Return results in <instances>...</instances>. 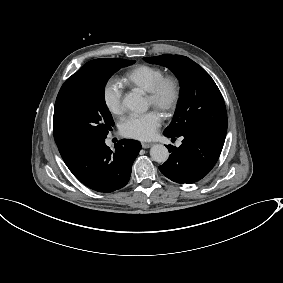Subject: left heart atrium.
Segmentation results:
<instances>
[{
  "label": "left heart atrium",
  "mask_w": 283,
  "mask_h": 283,
  "mask_svg": "<svg viewBox=\"0 0 283 283\" xmlns=\"http://www.w3.org/2000/svg\"><path fill=\"white\" fill-rule=\"evenodd\" d=\"M162 115L152 109L144 114H129L120 125L121 134L142 140L153 138L161 124Z\"/></svg>",
  "instance_id": "left-heart-atrium-1"
}]
</instances>
